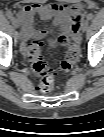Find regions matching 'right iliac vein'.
<instances>
[{
    "mask_svg": "<svg viewBox=\"0 0 104 137\" xmlns=\"http://www.w3.org/2000/svg\"><path fill=\"white\" fill-rule=\"evenodd\" d=\"M11 21L15 28H18L20 26L19 21L15 17H12Z\"/></svg>",
    "mask_w": 104,
    "mask_h": 137,
    "instance_id": "1",
    "label": "right iliac vein"
}]
</instances>
